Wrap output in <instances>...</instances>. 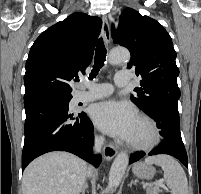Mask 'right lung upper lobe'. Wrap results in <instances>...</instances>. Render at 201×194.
I'll return each instance as SVG.
<instances>
[{
	"label": "right lung upper lobe",
	"instance_id": "obj_1",
	"mask_svg": "<svg viewBox=\"0 0 201 194\" xmlns=\"http://www.w3.org/2000/svg\"><path fill=\"white\" fill-rule=\"evenodd\" d=\"M101 26L99 17L73 13L45 30L26 61L24 96L39 92L71 95L70 81L79 72L85 73Z\"/></svg>",
	"mask_w": 201,
	"mask_h": 194
}]
</instances>
